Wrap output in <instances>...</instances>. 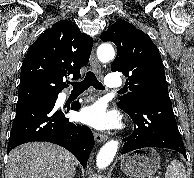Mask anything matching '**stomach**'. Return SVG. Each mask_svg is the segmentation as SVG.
<instances>
[{
    "label": "stomach",
    "mask_w": 194,
    "mask_h": 178,
    "mask_svg": "<svg viewBox=\"0 0 194 178\" xmlns=\"http://www.w3.org/2000/svg\"><path fill=\"white\" fill-rule=\"evenodd\" d=\"M121 170L134 178H151L160 167V157L152 148H142L121 157Z\"/></svg>",
    "instance_id": "1"
}]
</instances>
